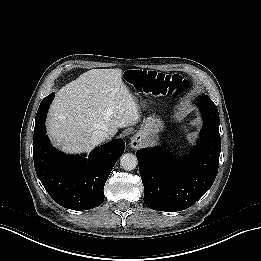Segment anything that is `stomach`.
Listing matches in <instances>:
<instances>
[{
    "instance_id": "stomach-1",
    "label": "stomach",
    "mask_w": 261,
    "mask_h": 261,
    "mask_svg": "<svg viewBox=\"0 0 261 261\" xmlns=\"http://www.w3.org/2000/svg\"><path fill=\"white\" fill-rule=\"evenodd\" d=\"M164 127L160 118L155 115L149 116L143 120L140 130L134 136L135 139L146 146H152L157 143L158 134Z\"/></svg>"
}]
</instances>
